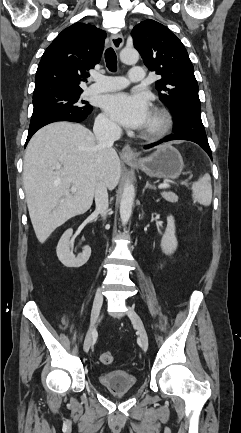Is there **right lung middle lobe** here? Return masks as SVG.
Listing matches in <instances>:
<instances>
[{
    "instance_id": "obj_1",
    "label": "right lung middle lobe",
    "mask_w": 241,
    "mask_h": 433,
    "mask_svg": "<svg viewBox=\"0 0 241 433\" xmlns=\"http://www.w3.org/2000/svg\"><path fill=\"white\" fill-rule=\"evenodd\" d=\"M82 91H57L33 97V114L29 129L58 115H84L91 112L88 102L80 99Z\"/></svg>"
}]
</instances>
